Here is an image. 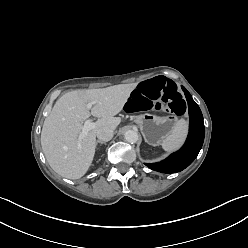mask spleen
<instances>
[{
  "instance_id": "3e777b00",
  "label": "spleen",
  "mask_w": 248,
  "mask_h": 248,
  "mask_svg": "<svg viewBox=\"0 0 248 248\" xmlns=\"http://www.w3.org/2000/svg\"><path fill=\"white\" fill-rule=\"evenodd\" d=\"M187 122L180 119L162 142V148L167 152H172L181 147L187 136Z\"/></svg>"
}]
</instances>
